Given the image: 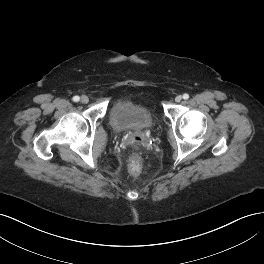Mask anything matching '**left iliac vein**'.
I'll list each match as a JSON object with an SVG mask.
<instances>
[{
  "label": "left iliac vein",
  "instance_id": "4c4485c4",
  "mask_svg": "<svg viewBox=\"0 0 264 264\" xmlns=\"http://www.w3.org/2000/svg\"><path fill=\"white\" fill-rule=\"evenodd\" d=\"M182 100V96L181 95H178L175 97V101L176 102H180Z\"/></svg>",
  "mask_w": 264,
  "mask_h": 264
}]
</instances>
